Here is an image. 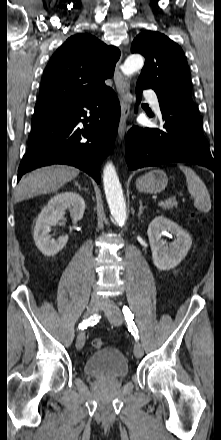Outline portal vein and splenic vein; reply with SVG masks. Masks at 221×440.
I'll return each mask as SVG.
<instances>
[{"label": "portal vein and splenic vein", "instance_id": "18ae733b", "mask_svg": "<svg viewBox=\"0 0 221 440\" xmlns=\"http://www.w3.org/2000/svg\"><path fill=\"white\" fill-rule=\"evenodd\" d=\"M164 203V201H160L159 203H158V205L160 206V205H162Z\"/></svg>", "mask_w": 221, "mask_h": 440}]
</instances>
